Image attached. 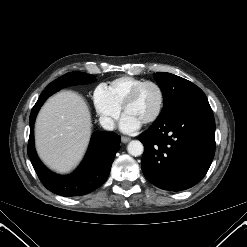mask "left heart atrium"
Returning <instances> with one entry per match:
<instances>
[{"label": "left heart atrium", "instance_id": "39dd6f15", "mask_svg": "<svg viewBox=\"0 0 247 247\" xmlns=\"http://www.w3.org/2000/svg\"><path fill=\"white\" fill-rule=\"evenodd\" d=\"M142 122L135 117L125 113L120 121V128L123 132L131 133L141 127Z\"/></svg>", "mask_w": 247, "mask_h": 247}]
</instances>
